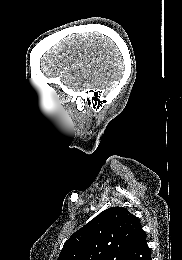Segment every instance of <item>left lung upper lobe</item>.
<instances>
[{
  "label": "left lung upper lobe",
  "instance_id": "obj_1",
  "mask_svg": "<svg viewBox=\"0 0 182 260\" xmlns=\"http://www.w3.org/2000/svg\"><path fill=\"white\" fill-rule=\"evenodd\" d=\"M140 229L126 208H108L65 242L57 260H121Z\"/></svg>",
  "mask_w": 182,
  "mask_h": 260
}]
</instances>
